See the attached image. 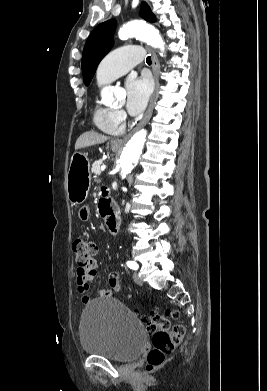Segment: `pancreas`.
<instances>
[{"instance_id": "1", "label": "pancreas", "mask_w": 267, "mask_h": 391, "mask_svg": "<svg viewBox=\"0 0 267 391\" xmlns=\"http://www.w3.org/2000/svg\"><path fill=\"white\" fill-rule=\"evenodd\" d=\"M102 163H103L102 159L96 160L92 164V168H91L92 173H94L95 175H99L101 172L100 168H101Z\"/></svg>"}]
</instances>
